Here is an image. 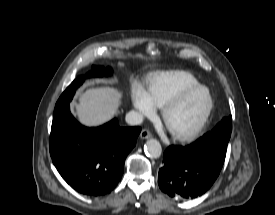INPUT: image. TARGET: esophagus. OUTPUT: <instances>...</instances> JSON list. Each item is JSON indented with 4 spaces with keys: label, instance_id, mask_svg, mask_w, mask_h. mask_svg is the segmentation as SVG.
I'll list each match as a JSON object with an SVG mask.
<instances>
[{
    "label": "esophagus",
    "instance_id": "obj_1",
    "mask_svg": "<svg viewBox=\"0 0 275 215\" xmlns=\"http://www.w3.org/2000/svg\"><path fill=\"white\" fill-rule=\"evenodd\" d=\"M152 136V133L148 129H143L140 133L141 139H148Z\"/></svg>",
    "mask_w": 275,
    "mask_h": 215
}]
</instances>
